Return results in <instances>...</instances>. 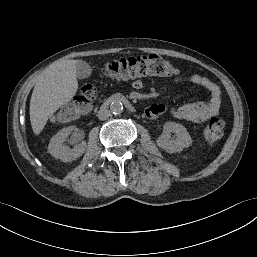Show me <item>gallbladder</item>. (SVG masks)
Wrapping results in <instances>:
<instances>
[{
	"label": "gallbladder",
	"mask_w": 257,
	"mask_h": 257,
	"mask_svg": "<svg viewBox=\"0 0 257 257\" xmlns=\"http://www.w3.org/2000/svg\"><path fill=\"white\" fill-rule=\"evenodd\" d=\"M91 72H92V69L87 62H85L83 60H79L77 62L76 75L79 79L88 78L90 76Z\"/></svg>",
	"instance_id": "obj_1"
}]
</instances>
